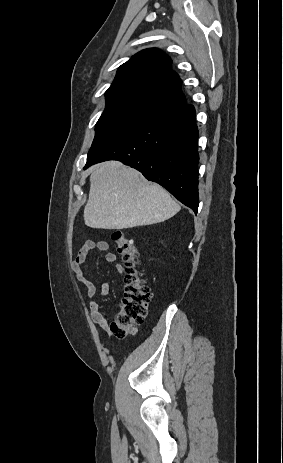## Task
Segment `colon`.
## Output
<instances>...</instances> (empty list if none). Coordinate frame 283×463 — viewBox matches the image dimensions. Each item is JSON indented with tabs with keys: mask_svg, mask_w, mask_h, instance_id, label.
<instances>
[{
	"mask_svg": "<svg viewBox=\"0 0 283 463\" xmlns=\"http://www.w3.org/2000/svg\"><path fill=\"white\" fill-rule=\"evenodd\" d=\"M112 240L125 265V287L123 301L110 330L115 336L125 338L143 323L151 294L139 270V253L133 240L120 230L112 233Z\"/></svg>",
	"mask_w": 283,
	"mask_h": 463,
	"instance_id": "1",
	"label": "colon"
}]
</instances>
